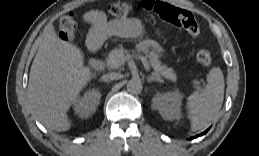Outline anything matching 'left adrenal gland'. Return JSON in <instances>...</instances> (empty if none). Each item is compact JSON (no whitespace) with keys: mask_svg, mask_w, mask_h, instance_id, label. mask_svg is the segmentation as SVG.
<instances>
[{"mask_svg":"<svg viewBox=\"0 0 259 156\" xmlns=\"http://www.w3.org/2000/svg\"><path fill=\"white\" fill-rule=\"evenodd\" d=\"M153 81H157V82H163V80L161 79L160 76H153V75H150L147 77V82H153Z\"/></svg>","mask_w":259,"mask_h":156,"instance_id":"1","label":"left adrenal gland"}]
</instances>
